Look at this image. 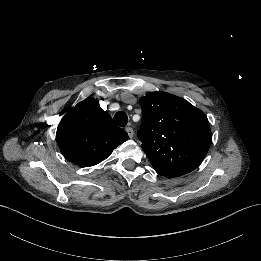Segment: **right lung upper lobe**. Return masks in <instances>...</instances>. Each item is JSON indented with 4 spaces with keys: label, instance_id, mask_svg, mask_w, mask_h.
<instances>
[{
    "label": "right lung upper lobe",
    "instance_id": "right-lung-upper-lobe-1",
    "mask_svg": "<svg viewBox=\"0 0 261 261\" xmlns=\"http://www.w3.org/2000/svg\"><path fill=\"white\" fill-rule=\"evenodd\" d=\"M56 139L67 160L81 167H90L109 157L128 139V134L113 124L97 99L89 97L62 118Z\"/></svg>",
    "mask_w": 261,
    "mask_h": 261
}]
</instances>
